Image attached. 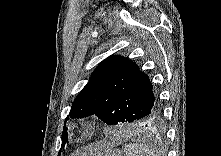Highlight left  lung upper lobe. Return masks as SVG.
Listing matches in <instances>:
<instances>
[{"instance_id":"1","label":"left lung upper lobe","mask_w":221,"mask_h":156,"mask_svg":"<svg viewBox=\"0 0 221 156\" xmlns=\"http://www.w3.org/2000/svg\"><path fill=\"white\" fill-rule=\"evenodd\" d=\"M160 104L149 77L128 58L111 55L93 71L66 119L96 115L108 125L130 123Z\"/></svg>"}]
</instances>
